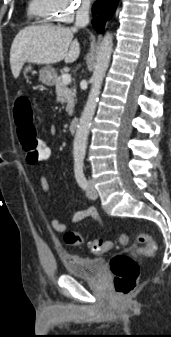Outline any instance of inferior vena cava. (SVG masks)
I'll return each instance as SVG.
<instances>
[{"mask_svg":"<svg viewBox=\"0 0 171 337\" xmlns=\"http://www.w3.org/2000/svg\"><path fill=\"white\" fill-rule=\"evenodd\" d=\"M89 7L88 2H83L76 13V21L74 28L85 27L89 23Z\"/></svg>","mask_w":171,"mask_h":337,"instance_id":"obj_1","label":"inferior vena cava"}]
</instances>
